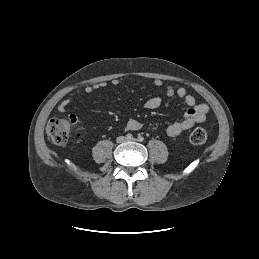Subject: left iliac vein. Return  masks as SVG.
<instances>
[{
	"label": "left iliac vein",
	"mask_w": 259,
	"mask_h": 259,
	"mask_svg": "<svg viewBox=\"0 0 259 259\" xmlns=\"http://www.w3.org/2000/svg\"><path fill=\"white\" fill-rule=\"evenodd\" d=\"M128 141H136V139H135V138H132V139H128Z\"/></svg>",
	"instance_id": "1"
}]
</instances>
